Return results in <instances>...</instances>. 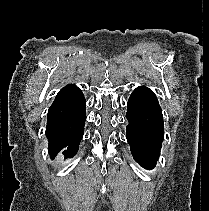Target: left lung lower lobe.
Masks as SVG:
<instances>
[{"label": "left lung lower lobe", "mask_w": 209, "mask_h": 211, "mask_svg": "<svg viewBox=\"0 0 209 211\" xmlns=\"http://www.w3.org/2000/svg\"><path fill=\"white\" fill-rule=\"evenodd\" d=\"M126 118V137L135 161L152 169L164 139L163 115L156 95L145 86L137 87L129 98Z\"/></svg>", "instance_id": "1"}]
</instances>
